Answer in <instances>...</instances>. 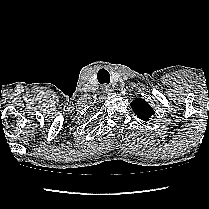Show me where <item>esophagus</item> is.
<instances>
[{
  "label": "esophagus",
  "instance_id": "1",
  "mask_svg": "<svg viewBox=\"0 0 209 209\" xmlns=\"http://www.w3.org/2000/svg\"><path fill=\"white\" fill-rule=\"evenodd\" d=\"M113 92L112 88L108 85H105L103 87V93L106 94V95H111Z\"/></svg>",
  "mask_w": 209,
  "mask_h": 209
}]
</instances>
